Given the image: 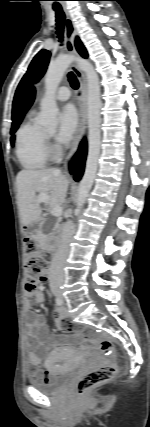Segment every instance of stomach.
Wrapping results in <instances>:
<instances>
[{"instance_id":"1","label":"stomach","mask_w":150,"mask_h":427,"mask_svg":"<svg viewBox=\"0 0 150 427\" xmlns=\"http://www.w3.org/2000/svg\"><path fill=\"white\" fill-rule=\"evenodd\" d=\"M30 231H31V233L36 234V233L38 232V229H37V228H33V229H31Z\"/></svg>"}]
</instances>
